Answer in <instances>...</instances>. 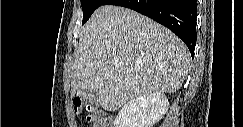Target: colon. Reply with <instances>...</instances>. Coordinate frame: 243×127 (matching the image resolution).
I'll list each match as a JSON object with an SVG mask.
<instances>
[{
    "label": "colon",
    "mask_w": 243,
    "mask_h": 127,
    "mask_svg": "<svg viewBox=\"0 0 243 127\" xmlns=\"http://www.w3.org/2000/svg\"><path fill=\"white\" fill-rule=\"evenodd\" d=\"M74 111L77 115L85 114L86 121L91 127H104L105 116L104 113L96 108L94 105L84 102V100L77 96L73 100Z\"/></svg>",
    "instance_id": "obj_1"
}]
</instances>
